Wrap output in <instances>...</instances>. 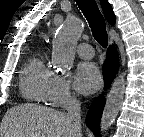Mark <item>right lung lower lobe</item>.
<instances>
[{
    "label": "right lung lower lobe",
    "instance_id": "right-lung-lower-lobe-1",
    "mask_svg": "<svg viewBox=\"0 0 144 137\" xmlns=\"http://www.w3.org/2000/svg\"><path fill=\"white\" fill-rule=\"evenodd\" d=\"M119 67L118 54L114 46H110L107 51V58L104 63L103 75L105 80V87H109L115 77ZM105 100L99 96L96 98L89 109L86 117L87 126L100 136V119L103 111Z\"/></svg>",
    "mask_w": 144,
    "mask_h": 137
}]
</instances>
